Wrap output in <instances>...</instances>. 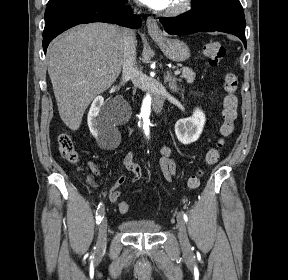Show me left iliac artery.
<instances>
[{"label": "left iliac artery", "mask_w": 288, "mask_h": 280, "mask_svg": "<svg viewBox=\"0 0 288 280\" xmlns=\"http://www.w3.org/2000/svg\"><path fill=\"white\" fill-rule=\"evenodd\" d=\"M184 211H185V210H184V207L181 205V206L179 207V213H180V214H183V218H184V220L187 222L188 217H187V214H186Z\"/></svg>", "instance_id": "left-iliac-artery-1"}]
</instances>
